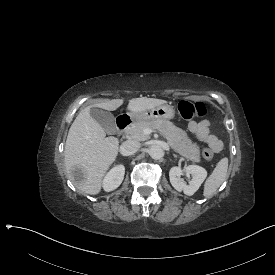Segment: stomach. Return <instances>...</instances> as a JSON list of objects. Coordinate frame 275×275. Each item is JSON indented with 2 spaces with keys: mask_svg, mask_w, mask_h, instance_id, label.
I'll list each match as a JSON object with an SVG mask.
<instances>
[{
  "mask_svg": "<svg viewBox=\"0 0 275 275\" xmlns=\"http://www.w3.org/2000/svg\"><path fill=\"white\" fill-rule=\"evenodd\" d=\"M129 114L133 121L150 122L157 119H172L175 115V110L172 106L164 104L142 112H131Z\"/></svg>",
  "mask_w": 275,
  "mask_h": 275,
  "instance_id": "1",
  "label": "stomach"
}]
</instances>
